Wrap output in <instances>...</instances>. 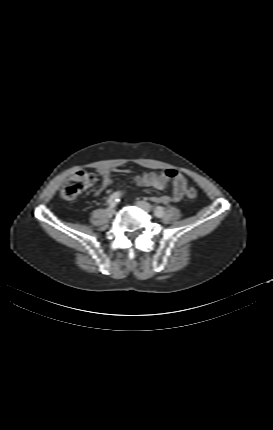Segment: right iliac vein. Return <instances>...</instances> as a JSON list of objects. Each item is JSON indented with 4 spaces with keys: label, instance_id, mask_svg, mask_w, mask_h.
<instances>
[{
    "label": "right iliac vein",
    "instance_id": "1",
    "mask_svg": "<svg viewBox=\"0 0 273 430\" xmlns=\"http://www.w3.org/2000/svg\"><path fill=\"white\" fill-rule=\"evenodd\" d=\"M106 212H107V214H108V215H110V216H111V215H113V214H114L115 210H114L113 208H111V207H110V208H108V209L106 210Z\"/></svg>",
    "mask_w": 273,
    "mask_h": 430
}]
</instances>
